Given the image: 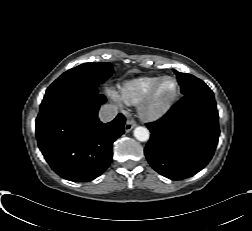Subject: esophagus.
I'll list each match as a JSON object with an SVG mask.
<instances>
[{
    "mask_svg": "<svg viewBox=\"0 0 252 231\" xmlns=\"http://www.w3.org/2000/svg\"><path fill=\"white\" fill-rule=\"evenodd\" d=\"M136 126V123L134 120H128L125 124V132H130L134 127Z\"/></svg>",
    "mask_w": 252,
    "mask_h": 231,
    "instance_id": "obj_1",
    "label": "esophagus"
}]
</instances>
